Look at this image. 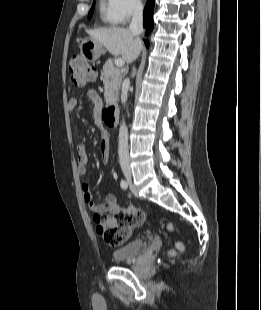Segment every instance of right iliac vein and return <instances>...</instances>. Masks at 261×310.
<instances>
[{"label": "right iliac vein", "mask_w": 261, "mask_h": 310, "mask_svg": "<svg viewBox=\"0 0 261 310\" xmlns=\"http://www.w3.org/2000/svg\"><path fill=\"white\" fill-rule=\"evenodd\" d=\"M123 173H124V175H125V177H126L127 179H130V178H131V171H130V169L124 168V169H123Z\"/></svg>", "instance_id": "63e3f726"}]
</instances>
